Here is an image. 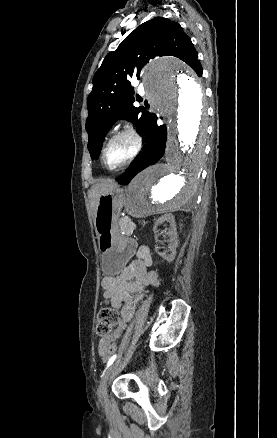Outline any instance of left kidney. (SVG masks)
<instances>
[{
    "label": "left kidney",
    "instance_id": "5707ae66",
    "mask_svg": "<svg viewBox=\"0 0 277 438\" xmlns=\"http://www.w3.org/2000/svg\"><path fill=\"white\" fill-rule=\"evenodd\" d=\"M161 222H169L170 224V232H167L168 236H170V246H169V254H160L164 260L167 262H172L176 256V248L178 246V236H177V228L174 220L173 214H163L161 218H158L155 222V226L153 228L154 232L157 230V226L161 224Z\"/></svg>",
    "mask_w": 277,
    "mask_h": 438
}]
</instances>
